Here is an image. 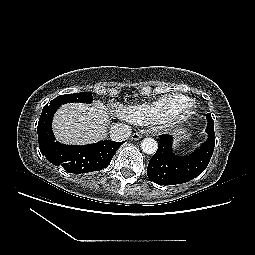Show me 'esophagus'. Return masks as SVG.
<instances>
[{
	"label": "esophagus",
	"instance_id": "esophagus-1",
	"mask_svg": "<svg viewBox=\"0 0 255 255\" xmlns=\"http://www.w3.org/2000/svg\"><path fill=\"white\" fill-rule=\"evenodd\" d=\"M142 137H143L142 134L136 132V133L132 134L131 139H133V140H140Z\"/></svg>",
	"mask_w": 255,
	"mask_h": 255
}]
</instances>
